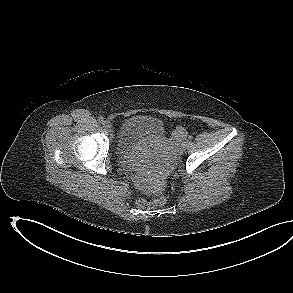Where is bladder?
I'll list each match as a JSON object with an SVG mask.
<instances>
[{
    "instance_id": "obj_1",
    "label": "bladder",
    "mask_w": 293,
    "mask_h": 293,
    "mask_svg": "<svg viewBox=\"0 0 293 293\" xmlns=\"http://www.w3.org/2000/svg\"><path fill=\"white\" fill-rule=\"evenodd\" d=\"M165 136L163 122L149 115H133L123 121L118 131L115 155L127 160L134 149L147 140H162Z\"/></svg>"
}]
</instances>
